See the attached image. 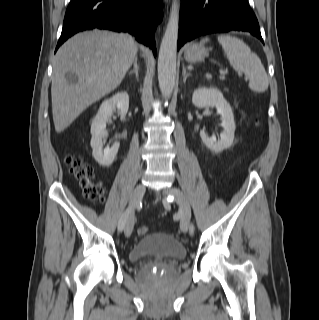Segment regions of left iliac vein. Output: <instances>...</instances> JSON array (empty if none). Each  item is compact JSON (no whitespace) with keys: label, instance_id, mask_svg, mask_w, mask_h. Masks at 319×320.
Returning <instances> with one entry per match:
<instances>
[{"label":"left iliac vein","instance_id":"left-iliac-vein-1","mask_svg":"<svg viewBox=\"0 0 319 320\" xmlns=\"http://www.w3.org/2000/svg\"><path fill=\"white\" fill-rule=\"evenodd\" d=\"M165 193L174 196L180 209V228L183 232H187L190 227L191 220V208L186 196L183 192L177 188H167L164 190Z\"/></svg>","mask_w":319,"mask_h":320}]
</instances>
